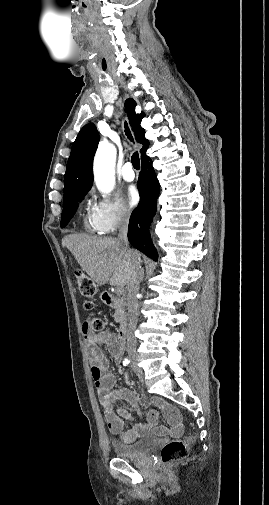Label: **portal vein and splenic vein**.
Instances as JSON below:
<instances>
[{
  "mask_svg": "<svg viewBox=\"0 0 269 505\" xmlns=\"http://www.w3.org/2000/svg\"><path fill=\"white\" fill-rule=\"evenodd\" d=\"M116 292L121 294L123 292V287L122 286H117Z\"/></svg>",
  "mask_w": 269,
  "mask_h": 505,
  "instance_id": "portal-vein-and-splenic-vein-1",
  "label": "portal vein and splenic vein"
}]
</instances>
